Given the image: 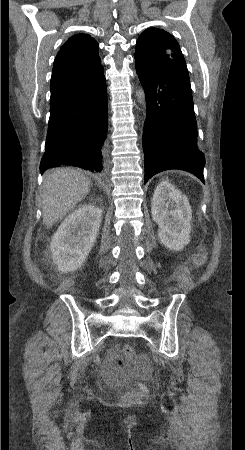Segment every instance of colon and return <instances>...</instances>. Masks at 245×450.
<instances>
[{
	"instance_id": "obj_1",
	"label": "colon",
	"mask_w": 245,
	"mask_h": 450,
	"mask_svg": "<svg viewBox=\"0 0 245 450\" xmlns=\"http://www.w3.org/2000/svg\"><path fill=\"white\" fill-rule=\"evenodd\" d=\"M204 262L203 254H197L192 261L194 266H200ZM183 276V275H181ZM134 356V349L130 345H124L118 355L117 365L123 367L128 360ZM149 396V389L143 383H134L131 385L129 391L125 394V398L136 402H144Z\"/></svg>"
}]
</instances>
